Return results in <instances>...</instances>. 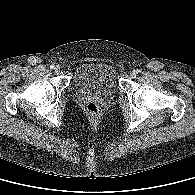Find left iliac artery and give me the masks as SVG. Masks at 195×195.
<instances>
[{
  "instance_id": "obj_1",
  "label": "left iliac artery",
  "mask_w": 195,
  "mask_h": 195,
  "mask_svg": "<svg viewBox=\"0 0 195 195\" xmlns=\"http://www.w3.org/2000/svg\"><path fill=\"white\" fill-rule=\"evenodd\" d=\"M136 71V73H139L140 72V70L139 69H137V70H135Z\"/></svg>"
}]
</instances>
